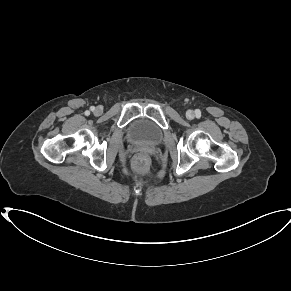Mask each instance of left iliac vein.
Listing matches in <instances>:
<instances>
[{
	"instance_id": "obj_1",
	"label": "left iliac vein",
	"mask_w": 291,
	"mask_h": 291,
	"mask_svg": "<svg viewBox=\"0 0 291 291\" xmlns=\"http://www.w3.org/2000/svg\"><path fill=\"white\" fill-rule=\"evenodd\" d=\"M186 117H187L188 119H190V120L194 119V117H195V113H194V111H192V110H188V111L186 112Z\"/></svg>"
}]
</instances>
